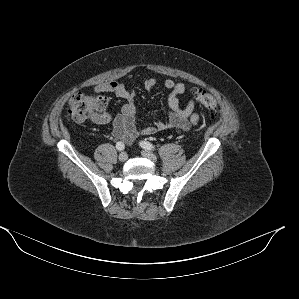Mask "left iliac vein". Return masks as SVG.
<instances>
[{
	"label": "left iliac vein",
	"mask_w": 299,
	"mask_h": 299,
	"mask_svg": "<svg viewBox=\"0 0 299 299\" xmlns=\"http://www.w3.org/2000/svg\"><path fill=\"white\" fill-rule=\"evenodd\" d=\"M141 154L144 158H146L154 163L157 162V157L152 152H150L148 150H143L141 152Z\"/></svg>",
	"instance_id": "left-iliac-vein-1"
}]
</instances>
